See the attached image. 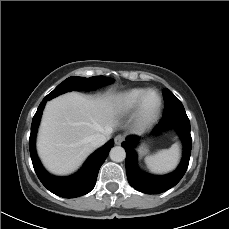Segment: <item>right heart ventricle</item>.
<instances>
[{
	"label": "right heart ventricle",
	"mask_w": 229,
	"mask_h": 229,
	"mask_svg": "<svg viewBox=\"0 0 229 229\" xmlns=\"http://www.w3.org/2000/svg\"><path fill=\"white\" fill-rule=\"evenodd\" d=\"M148 89L132 88L126 90L112 99V108L119 115H128L133 112L141 97Z\"/></svg>",
	"instance_id": "1"
}]
</instances>
